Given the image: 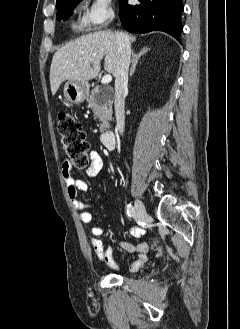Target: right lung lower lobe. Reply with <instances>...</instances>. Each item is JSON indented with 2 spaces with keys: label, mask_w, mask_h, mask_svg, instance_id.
Wrapping results in <instances>:
<instances>
[{
  "label": "right lung lower lobe",
  "mask_w": 240,
  "mask_h": 329,
  "mask_svg": "<svg viewBox=\"0 0 240 329\" xmlns=\"http://www.w3.org/2000/svg\"><path fill=\"white\" fill-rule=\"evenodd\" d=\"M139 5H128L120 0V20L130 32L147 33L160 30L180 42L182 32V0H139Z\"/></svg>",
  "instance_id": "obj_1"
}]
</instances>
